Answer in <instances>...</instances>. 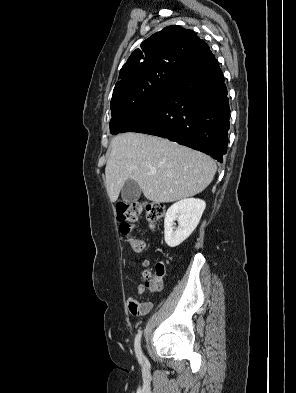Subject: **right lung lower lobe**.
Segmentation results:
<instances>
[{
  "mask_svg": "<svg viewBox=\"0 0 296 393\" xmlns=\"http://www.w3.org/2000/svg\"><path fill=\"white\" fill-rule=\"evenodd\" d=\"M229 119L224 76L209 51L179 73L156 101L120 133L132 131L168 138L222 162L227 150Z\"/></svg>",
  "mask_w": 296,
  "mask_h": 393,
  "instance_id": "obj_1",
  "label": "right lung lower lobe"
}]
</instances>
